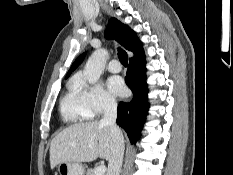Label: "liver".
I'll list each match as a JSON object with an SVG mask.
<instances>
[{
  "label": "liver",
  "instance_id": "liver-1",
  "mask_svg": "<svg viewBox=\"0 0 233 175\" xmlns=\"http://www.w3.org/2000/svg\"><path fill=\"white\" fill-rule=\"evenodd\" d=\"M111 148L112 137L108 125L98 121L74 124L53 138L50 166L54 169L63 162H91L98 157L109 160Z\"/></svg>",
  "mask_w": 233,
  "mask_h": 175
}]
</instances>
